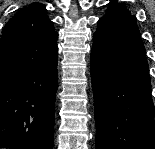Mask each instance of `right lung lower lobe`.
<instances>
[{
  "mask_svg": "<svg viewBox=\"0 0 155 149\" xmlns=\"http://www.w3.org/2000/svg\"><path fill=\"white\" fill-rule=\"evenodd\" d=\"M57 56L0 78V148L52 149Z\"/></svg>",
  "mask_w": 155,
  "mask_h": 149,
  "instance_id": "98d812e1",
  "label": "right lung lower lobe"
}]
</instances>
